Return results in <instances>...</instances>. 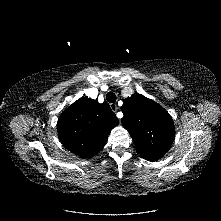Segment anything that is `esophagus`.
<instances>
[{
  "label": "esophagus",
  "mask_w": 221,
  "mask_h": 221,
  "mask_svg": "<svg viewBox=\"0 0 221 221\" xmlns=\"http://www.w3.org/2000/svg\"><path fill=\"white\" fill-rule=\"evenodd\" d=\"M110 108L113 112H116L119 109V107L115 103H111Z\"/></svg>",
  "instance_id": "esophagus-1"
}]
</instances>
